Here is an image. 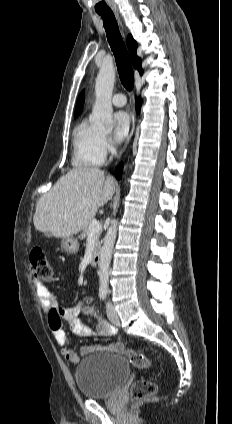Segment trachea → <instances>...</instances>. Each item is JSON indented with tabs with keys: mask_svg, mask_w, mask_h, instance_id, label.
Returning a JSON list of instances; mask_svg holds the SVG:
<instances>
[{
	"mask_svg": "<svg viewBox=\"0 0 232 424\" xmlns=\"http://www.w3.org/2000/svg\"><path fill=\"white\" fill-rule=\"evenodd\" d=\"M103 19L107 39L115 56L118 74L123 86L131 91L134 86V73L125 43L119 32L116 19L112 12H98Z\"/></svg>",
	"mask_w": 232,
	"mask_h": 424,
	"instance_id": "trachea-1",
	"label": "trachea"
}]
</instances>
